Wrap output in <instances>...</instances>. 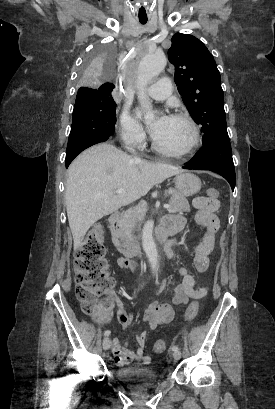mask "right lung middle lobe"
Returning <instances> with one entry per match:
<instances>
[{
  "mask_svg": "<svg viewBox=\"0 0 275 409\" xmlns=\"http://www.w3.org/2000/svg\"><path fill=\"white\" fill-rule=\"evenodd\" d=\"M96 50H88L79 73V90H100L102 79H112L116 72L114 59L119 50H110V42H97ZM118 96L77 93L71 132L66 151V168L86 148L106 141L114 133Z\"/></svg>",
  "mask_w": 275,
  "mask_h": 409,
  "instance_id": "right-lung-middle-lobe-1",
  "label": "right lung middle lobe"
}]
</instances>
